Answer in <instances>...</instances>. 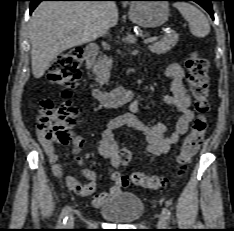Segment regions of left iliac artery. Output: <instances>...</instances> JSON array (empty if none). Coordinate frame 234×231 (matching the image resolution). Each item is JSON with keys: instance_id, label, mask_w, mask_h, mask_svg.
I'll use <instances>...</instances> for the list:
<instances>
[{"instance_id": "obj_1", "label": "left iliac artery", "mask_w": 234, "mask_h": 231, "mask_svg": "<svg viewBox=\"0 0 234 231\" xmlns=\"http://www.w3.org/2000/svg\"><path fill=\"white\" fill-rule=\"evenodd\" d=\"M162 212H163V214L165 215L166 219H167L168 221H170V219H171V212H170V210L167 209V208H163Z\"/></svg>"}]
</instances>
